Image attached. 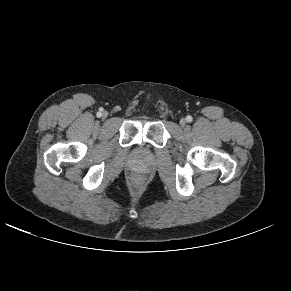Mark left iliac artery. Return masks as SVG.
Instances as JSON below:
<instances>
[{
    "instance_id": "obj_1",
    "label": "left iliac artery",
    "mask_w": 291,
    "mask_h": 291,
    "mask_svg": "<svg viewBox=\"0 0 291 291\" xmlns=\"http://www.w3.org/2000/svg\"><path fill=\"white\" fill-rule=\"evenodd\" d=\"M186 120H187V122H191V121H192V117H191L190 115H188V116L186 117Z\"/></svg>"
}]
</instances>
